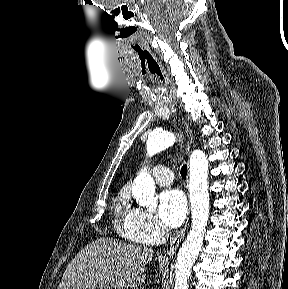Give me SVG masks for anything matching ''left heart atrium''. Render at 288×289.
<instances>
[{
  "mask_svg": "<svg viewBox=\"0 0 288 289\" xmlns=\"http://www.w3.org/2000/svg\"><path fill=\"white\" fill-rule=\"evenodd\" d=\"M186 211V199L179 189H166L159 195L158 216L166 226H179L185 218Z\"/></svg>",
  "mask_w": 288,
  "mask_h": 289,
  "instance_id": "obj_1",
  "label": "left heart atrium"
}]
</instances>
